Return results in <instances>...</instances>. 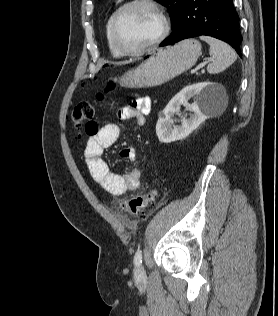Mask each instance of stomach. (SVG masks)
Masks as SVG:
<instances>
[{
  "label": "stomach",
  "mask_w": 278,
  "mask_h": 316,
  "mask_svg": "<svg viewBox=\"0 0 278 316\" xmlns=\"http://www.w3.org/2000/svg\"><path fill=\"white\" fill-rule=\"evenodd\" d=\"M200 55L201 44L197 40L181 41L147 56L138 67L126 72L119 84L129 88L161 85L194 66Z\"/></svg>",
  "instance_id": "1"
}]
</instances>
